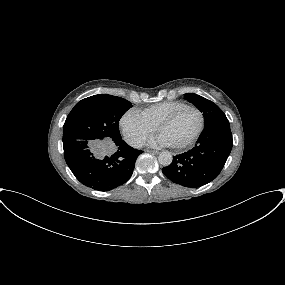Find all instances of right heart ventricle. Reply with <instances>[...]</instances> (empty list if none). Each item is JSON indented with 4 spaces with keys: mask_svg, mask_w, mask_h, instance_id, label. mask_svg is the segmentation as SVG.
Instances as JSON below:
<instances>
[{
    "mask_svg": "<svg viewBox=\"0 0 285 285\" xmlns=\"http://www.w3.org/2000/svg\"><path fill=\"white\" fill-rule=\"evenodd\" d=\"M184 105H186V103L183 101L167 100L155 103L145 109L138 110L137 112L145 121L156 127L162 119Z\"/></svg>",
    "mask_w": 285,
    "mask_h": 285,
    "instance_id": "right-heart-ventricle-1",
    "label": "right heart ventricle"
}]
</instances>
